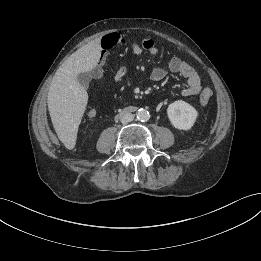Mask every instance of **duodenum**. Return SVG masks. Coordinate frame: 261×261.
Listing matches in <instances>:
<instances>
[{
	"instance_id": "duodenum-1",
	"label": "duodenum",
	"mask_w": 261,
	"mask_h": 261,
	"mask_svg": "<svg viewBox=\"0 0 261 261\" xmlns=\"http://www.w3.org/2000/svg\"><path fill=\"white\" fill-rule=\"evenodd\" d=\"M133 110H134V108H128L125 110V112H129V111H133Z\"/></svg>"
}]
</instances>
